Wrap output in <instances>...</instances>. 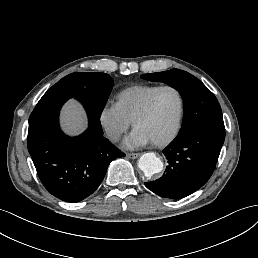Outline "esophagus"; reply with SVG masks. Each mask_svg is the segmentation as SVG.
Masks as SVG:
<instances>
[{"label":"esophagus","mask_w":258,"mask_h":258,"mask_svg":"<svg viewBox=\"0 0 258 258\" xmlns=\"http://www.w3.org/2000/svg\"><path fill=\"white\" fill-rule=\"evenodd\" d=\"M126 156L127 158L135 159L141 156V153H128Z\"/></svg>","instance_id":"obj_1"}]
</instances>
